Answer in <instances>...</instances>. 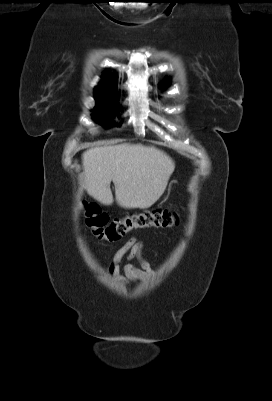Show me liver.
Instances as JSON below:
<instances>
[{"instance_id": "1", "label": "liver", "mask_w": 272, "mask_h": 401, "mask_svg": "<svg viewBox=\"0 0 272 401\" xmlns=\"http://www.w3.org/2000/svg\"><path fill=\"white\" fill-rule=\"evenodd\" d=\"M82 163L87 193L111 205L112 181L116 201L124 208L151 207L164 193L175 169L174 161L162 150L129 143L88 149Z\"/></svg>"}]
</instances>
